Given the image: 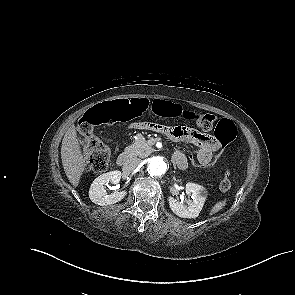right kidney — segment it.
<instances>
[{
    "label": "right kidney",
    "mask_w": 295,
    "mask_h": 295,
    "mask_svg": "<svg viewBox=\"0 0 295 295\" xmlns=\"http://www.w3.org/2000/svg\"><path fill=\"white\" fill-rule=\"evenodd\" d=\"M121 179L120 171H110L97 177L91 184L89 190L90 200L100 206L115 204L121 201L127 194L126 191H114L108 194L104 185L111 182L113 184L119 183Z\"/></svg>",
    "instance_id": "obj_1"
}]
</instances>
